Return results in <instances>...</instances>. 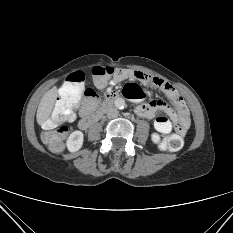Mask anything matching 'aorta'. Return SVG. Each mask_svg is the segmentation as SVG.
Wrapping results in <instances>:
<instances>
[{"mask_svg":"<svg viewBox=\"0 0 233 233\" xmlns=\"http://www.w3.org/2000/svg\"><path fill=\"white\" fill-rule=\"evenodd\" d=\"M114 104H115V107L118 109H123L125 107V101L122 98H117Z\"/></svg>","mask_w":233,"mask_h":233,"instance_id":"1","label":"aorta"}]
</instances>
